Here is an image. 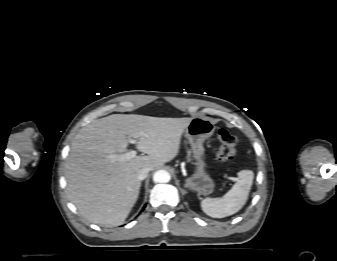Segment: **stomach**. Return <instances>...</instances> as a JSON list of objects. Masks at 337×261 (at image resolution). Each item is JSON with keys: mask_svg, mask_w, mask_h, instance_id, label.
I'll use <instances>...</instances> for the list:
<instances>
[{"mask_svg": "<svg viewBox=\"0 0 337 261\" xmlns=\"http://www.w3.org/2000/svg\"><path fill=\"white\" fill-rule=\"evenodd\" d=\"M215 127L211 119L194 117L185 129V135L191 145V151L196 161V170L185 180V187L198 195L208 196L215 189V182L205 168L204 142L214 133Z\"/></svg>", "mask_w": 337, "mask_h": 261, "instance_id": "obj_1", "label": "stomach"}]
</instances>
